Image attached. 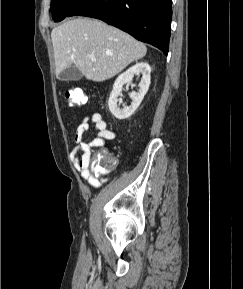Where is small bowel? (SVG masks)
Segmentation results:
<instances>
[{"label": "small bowel", "instance_id": "obj_1", "mask_svg": "<svg viewBox=\"0 0 243 289\" xmlns=\"http://www.w3.org/2000/svg\"><path fill=\"white\" fill-rule=\"evenodd\" d=\"M90 123L94 124L97 136L90 142H85L83 138L89 130ZM115 136V132L108 128L103 116L98 112L85 116L76 128L72 159L81 178L94 188L99 187L104 179L98 178L96 173L90 168L91 151L93 148H102L105 151L103 148L106 142L113 140Z\"/></svg>", "mask_w": 243, "mask_h": 289}]
</instances>
